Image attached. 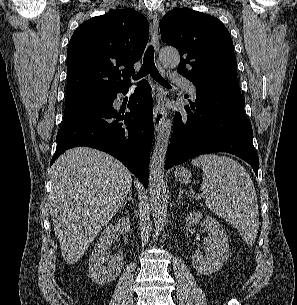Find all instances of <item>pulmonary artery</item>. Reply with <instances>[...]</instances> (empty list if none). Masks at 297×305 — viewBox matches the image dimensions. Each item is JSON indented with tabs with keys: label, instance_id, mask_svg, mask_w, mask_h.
Wrapping results in <instances>:
<instances>
[{
	"label": "pulmonary artery",
	"instance_id": "pulmonary-artery-1",
	"mask_svg": "<svg viewBox=\"0 0 297 305\" xmlns=\"http://www.w3.org/2000/svg\"><path fill=\"white\" fill-rule=\"evenodd\" d=\"M173 82L182 85L192 97L196 96V87L184 77L176 75L173 77Z\"/></svg>",
	"mask_w": 297,
	"mask_h": 305
}]
</instances>
